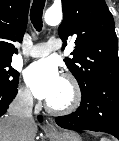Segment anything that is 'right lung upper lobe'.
<instances>
[{
  "instance_id": "1",
  "label": "right lung upper lobe",
  "mask_w": 119,
  "mask_h": 141,
  "mask_svg": "<svg viewBox=\"0 0 119 141\" xmlns=\"http://www.w3.org/2000/svg\"><path fill=\"white\" fill-rule=\"evenodd\" d=\"M29 0H0V59L11 58L26 30Z\"/></svg>"
}]
</instances>
